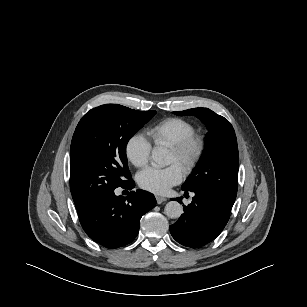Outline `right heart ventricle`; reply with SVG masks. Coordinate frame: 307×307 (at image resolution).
Returning <instances> with one entry per match:
<instances>
[{"instance_id": "e07e8e85", "label": "right heart ventricle", "mask_w": 307, "mask_h": 307, "mask_svg": "<svg viewBox=\"0 0 307 307\" xmlns=\"http://www.w3.org/2000/svg\"><path fill=\"white\" fill-rule=\"evenodd\" d=\"M194 133L193 123L178 117L167 118L148 130L155 146L168 148Z\"/></svg>"}]
</instances>
